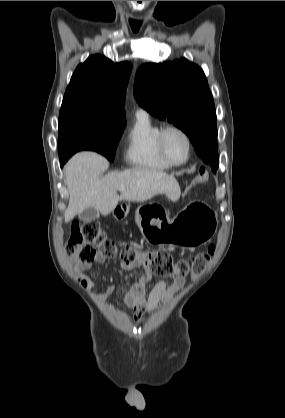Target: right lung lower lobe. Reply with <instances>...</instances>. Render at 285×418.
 <instances>
[{
  "instance_id": "98d812e1",
  "label": "right lung lower lobe",
  "mask_w": 285,
  "mask_h": 418,
  "mask_svg": "<svg viewBox=\"0 0 285 418\" xmlns=\"http://www.w3.org/2000/svg\"><path fill=\"white\" fill-rule=\"evenodd\" d=\"M68 159H69V158H68ZM68 159H61V160H60L61 167H63V165L66 163V161H67Z\"/></svg>"
}]
</instances>
